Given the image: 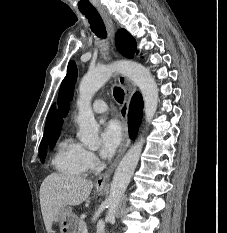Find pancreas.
<instances>
[{"label": "pancreas", "instance_id": "cf45deb5", "mask_svg": "<svg viewBox=\"0 0 227 233\" xmlns=\"http://www.w3.org/2000/svg\"><path fill=\"white\" fill-rule=\"evenodd\" d=\"M86 228V223L82 218L78 220V231L77 233H84V229Z\"/></svg>", "mask_w": 227, "mask_h": 233}]
</instances>
